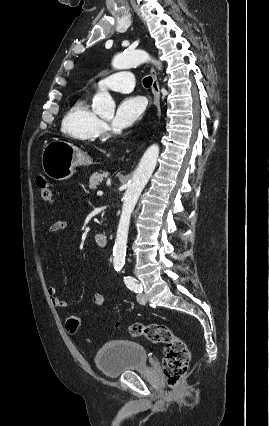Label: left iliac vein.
<instances>
[{
  "label": "left iliac vein",
  "instance_id": "left-iliac-vein-1",
  "mask_svg": "<svg viewBox=\"0 0 269 426\" xmlns=\"http://www.w3.org/2000/svg\"><path fill=\"white\" fill-rule=\"evenodd\" d=\"M137 300H138V302L140 303V304H145L146 303V301H147V298H146V296L144 295V294H138L137 295Z\"/></svg>",
  "mask_w": 269,
  "mask_h": 426
}]
</instances>
